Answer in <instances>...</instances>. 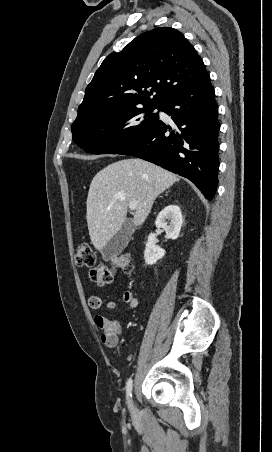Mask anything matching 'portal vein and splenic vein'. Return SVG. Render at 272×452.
<instances>
[{
  "label": "portal vein and splenic vein",
  "mask_w": 272,
  "mask_h": 452,
  "mask_svg": "<svg viewBox=\"0 0 272 452\" xmlns=\"http://www.w3.org/2000/svg\"><path fill=\"white\" fill-rule=\"evenodd\" d=\"M128 206H129L130 210H135L136 206H137V203L136 202H130Z\"/></svg>",
  "instance_id": "obj_1"
}]
</instances>
